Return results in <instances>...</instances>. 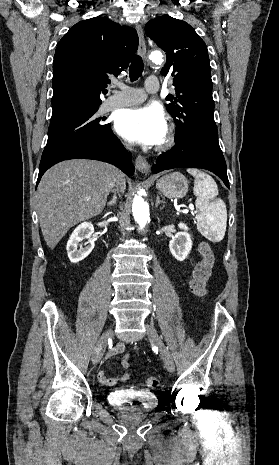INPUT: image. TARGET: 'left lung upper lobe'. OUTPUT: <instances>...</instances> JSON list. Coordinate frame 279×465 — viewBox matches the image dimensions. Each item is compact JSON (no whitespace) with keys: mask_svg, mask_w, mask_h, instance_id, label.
<instances>
[{"mask_svg":"<svg viewBox=\"0 0 279 465\" xmlns=\"http://www.w3.org/2000/svg\"><path fill=\"white\" fill-rule=\"evenodd\" d=\"M147 36L167 55L163 76H173L176 95L166 108L177 125L175 142L187 140L221 151L214 121L211 68L207 46L186 22L168 15L146 24Z\"/></svg>","mask_w":279,"mask_h":465,"instance_id":"5c2ea615","label":"left lung upper lobe"}]
</instances>
